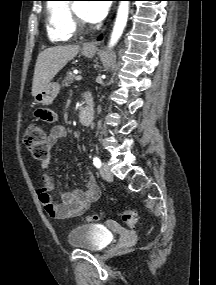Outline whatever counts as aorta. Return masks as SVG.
Listing matches in <instances>:
<instances>
[{
  "label": "aorta",
  "mask_w": 216,
  "mask_h": 285,
  "mask_svg": "<svg viewBox=\"0 0 216 285\" xmlns=\"http://www.w3.org/2000/svg\"><path fill=\"white\" fill-rule=\"evenodd\" d=\"M129 1H120L117 11V17L115 20V24L113 27V31L111 34V38L109 41V46L113 47L118 40L120 39L128 20V14H129Z\"/></svg>",
  "instance_id": "1"
}]
</instances>
